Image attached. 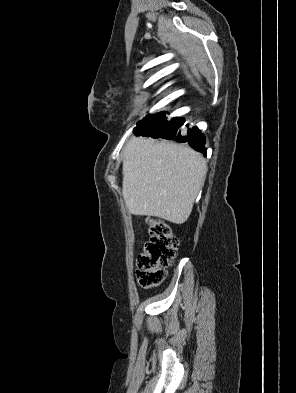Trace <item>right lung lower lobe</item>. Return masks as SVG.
<instances>
[{
  "mask_svg": "<svg viewBox=\"0 0 296 393\" xmlns=\"http://www.w3.org/2000/svg\"><path fill=\"white\" fill-rule=\"evenodd\" d=\"M183 118H172L167 120L165 112L157 114H148L145 118L137 123L133 133L136 136H147L152 138L171 139L177 142H188L196 151L202 152L206 156L205 138L197 127L187 130L186 136H181V129L184 124ZM188 126V125H186Z\"/></svg>",
  "mask_w": 296,
  "mask_h": 393,
  "instance_id": "right-lung-lower-lobe-1",
  "label": "right lung lower lobe"
}]
</instances>
